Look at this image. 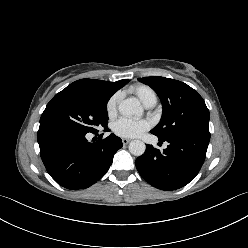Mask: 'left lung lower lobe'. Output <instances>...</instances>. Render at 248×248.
Wrapping results in <instances>:
<instances>
[{
	"label": "left lung lower lobe",
	"instance_id": "obj_1",
	"mask_svg": "<svg viewBox=\"0 0 248 248\" xmlns=\"http://www.w3.org/2000/svg\"><path fill=\"white\" fill-rule=\"evenodd\" d=\"M210 133L176 134L167 139L169 145L162 152L147 145L143 155L135 161L140 175L161 190H176L192 181L200 171L208 148Z\"/></svg>",
	"mask_w": 248,
	"mask_h": 248
}]
</instances>
